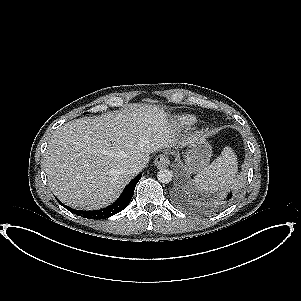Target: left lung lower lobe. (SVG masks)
<instances>
[{
  "label": "left lung lower lobe",
  "instance_id": "left-lung-lower-lobe-1",
  "mask_svg": "<svg viewBox=\"0 0 301 301\" xmlns=\"http://www.w3.org/2000/svg\"><path fill=\"white\" fill-rule=\"evenodd\" d=\"M233 197L232 193H228V195L226 197H224V200H221L222 204H224L225 202L229 201L231 198Z\"/></svg>",
  "mask_w": 301,
  "mask_h": 301
}]
</instances>
